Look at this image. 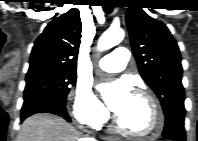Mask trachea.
<instances>
[{
  "instance_id": "1",
  "label": "trachea",
  "mask_w": 198,
  "mask_h": 141,
  "mask_svg": "<svg viewBox=\"0 0 198 141\" xmlns=\"http://www.w3.org/2000/svg\"><path fill=\"white\" fill-rule=\"evenodd\" d=\"M103 7H104V11L107 14H110L112 12V6L105 4V5H103Z\"/></svg>"
}]
</instances>
